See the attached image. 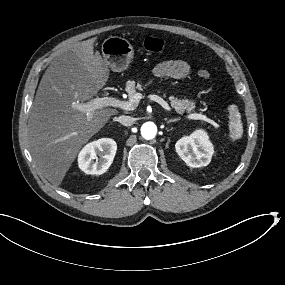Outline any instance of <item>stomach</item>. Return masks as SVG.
I'll return each instance as SVG.
<instances>
[{
  "label": "stomach",
  "mask_w": 285,
  "mask_h": 285,
  "mask_svg": "<svg viewBox=\"0 0 285 285\" xmlns=\"http://www.w3.org/2000/svg\"><path fill=\"white\" fill-rule=\"evenodd\" d=\"M102 54L112 70L123 71L134 58V48L127 39L110 36L102 43Z\"/></svg>",
  "instance_id": "obj_1"
}]
</instances>
